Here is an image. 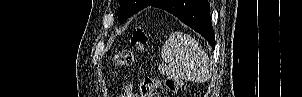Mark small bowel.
I'll list each match as a JSON object with an SVG mask.
<instances>
[{"mask_svg": "<svg viewBox=\"0 0 302 97\" xmlns=\"http://www.w3.org/2000/svg\"><path fill=\"white\" fill-rule=\"evenodd\" d=\"M124 97H139L135 92L133 85H128L124 91Z\"/></svg>", "mask_w": 302, "mask_h": 97, "instance_id": "c3829d8e", "label": "small bowel"}]
</instances>
